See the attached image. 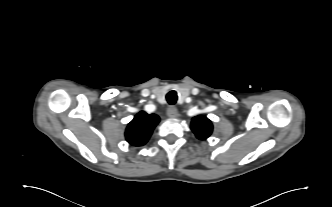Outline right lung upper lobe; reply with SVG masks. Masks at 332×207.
<instances>
[{
	"label": "right lung upper lobe",
	"mask_w": 332,
	"mask_h": 207,
	"mask_svg": "<svg viewBox=\"0 0 332 207\" xmlns=\"http://www.w3.org/2000/svg\"><path fill=\"white\" fill-rule=\"evenodd\" d=\"M160 118L155 114H147L140 111L128 124L125 137L129 144L142 146L150 138L153 129L159 123Z\"/></svg>",
	"instance_id": "right-lung-upper-lobe-1"
}]
</instances>
